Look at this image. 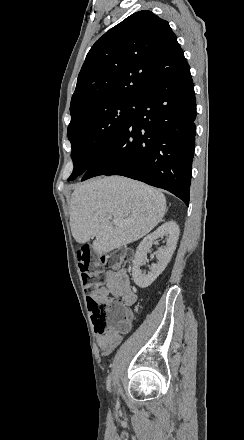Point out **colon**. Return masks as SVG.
Wrapping results in <instances>:
<instances>
[{
  "label": "colon",
  "instance_id": "obj_1",
  "mask_svg": "<svg viewBox=\"0 0 244 440\" xmlns=\"http://www.w3.org/2000/svg\"><path fill=\"white\" fill-rule=\"evenodd\" d=\"M77 257L79 262L78 269L82 271V279L85 283V300L90 307L93 319H105V328L113 330L117 334L128 331V319L131 318L132 306L117 303L112 299L107 304H99V299L94 298L95 287L101 280L102 272H113L121 270L123 262H130L133 251L131 248H113L111 256L107 263H102L101 269L98 262H89L91 260L90 248H77ZM123 261V262H122ZM102 270V271H101Z\"/></svg>",
  "mask_w": 244,
  "mask_h": 440
}]
</instances>
